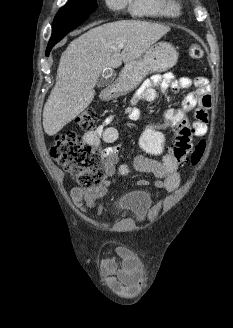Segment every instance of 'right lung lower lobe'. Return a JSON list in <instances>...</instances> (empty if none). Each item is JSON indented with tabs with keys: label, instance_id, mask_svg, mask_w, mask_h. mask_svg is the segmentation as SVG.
I'll use <instances>...</instances> for the list:
<instances>
[{
	"label": "right lung lower lobe",
	"instance_id": "right-lung-lower-lobe-1",
	"mask_svg": "<svg viewBox=\"0 0 233 328\" xmlns=\"http://www.w3.org/2000/svg\"><path fill=\"white\" fill-rule=\"evenodd\" d=\"M84 20H55L52 26V36L46 50V56L49 55L52 47L60 41L67 33L79 26Z\"/></svg>",
	"mask_w": 233,
	"mask_h": 328
}]
</instances>
